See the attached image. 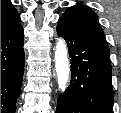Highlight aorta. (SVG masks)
Returning <instances> with one entry per match:
<instances>
[{
	"instance_id": "762f6f07",
	"label": "aorta",
	"mask_w": 121,
	"mask_h": 113,
	"mask_svg": "<svg viewBox=\"0 0 121 113\" xmlns=\"http://www.w3.org/2000/svg\"><path fill=\"white\" fill-rule=\"evenodd\" d=\"M55 67L58 79V87L64 92L69 81V59L66 43L63 39H59L55 51Z\"/></svg>"
}]
</instances>
